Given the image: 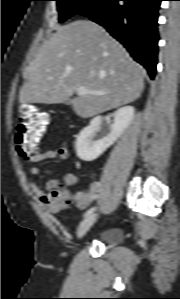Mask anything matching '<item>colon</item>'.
Returning <instances> with one entry per match:
<instances>
[{
	"instance_id": "colon-1",
	"label": "colon",
	"mask_w": 180,
	"mask_h": 299,
	"mask_svg": "<svg viewBox=\"0 0 180 299\" xmlns=\"http://www.w3.org/2000/svg\"><path fill=\"white\" fill-rule=\"evenodd\" d=\"M47 125L48 115L46 112L31 104L21 107L17 116L15 143L19 155L24 160L31 161L37 154L38 139L44 133ZM52 202L61 207H66L69 204L70 199L64 185H59L54 190Z\"/></svg>"
}]
</instances>
